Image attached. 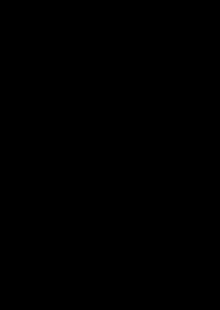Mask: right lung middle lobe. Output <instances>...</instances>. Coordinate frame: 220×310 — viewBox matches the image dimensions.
Returning a JSON list of instances; mask_svg holds the SVG:
<instances>
[{
	"label": "right lung middle lobe",
	"instance_id": "obj_1",
	"mask_svg": "<svg viewBox=\"0 0 220 310\" xmlns=\"http://www.w3.org/2000/svg\"><path fill=\"white\" fill-rule=\"evenodd\" d=\"M102 114L87 109H71L57 114L37 126L31 135L23 161L64 148L86 156V126Z\"/></svg>",
	"mask_w": 220,
	"mask_h": 310
}]
</instances>
